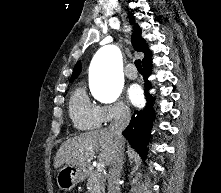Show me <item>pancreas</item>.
I'll return each mask as SVG.
<instances>
[{"instance_id": "cf45deb5", "label": "pancreas", "mask_w": 221, "mask_h": 193, "mask_svg": "<svg viewBox=\"0 0 221 193\" xmlns=\"http://www.w3.org/2000/svg\"><path fill=\"white\" fill-rule=\"evenodd\" d=\"M105 179L104 176L97 172L92 171L89 174L88 180H87V186L89 187L90 193H105Z\"/></svg>"}]
</instances>
